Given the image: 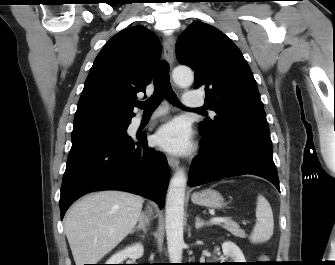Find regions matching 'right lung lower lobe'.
<instances>
[{"instance_id":"obj_1","label":"right lung lower lobe","mask_w":335,"mask_h":265,"mask_svg":"<svg viewBox=\"0 0 335 265\" xmlns=\"http://www.w3.org/2000/svg\"><path fill=\"white\" fill-rule=\"evenodd\" d=\"M168 181L166 157L147 147L146 134L72 144L61 186V219L75 200L97 190L136 193L163 208Z\"/></svg>"}]
</instances>
